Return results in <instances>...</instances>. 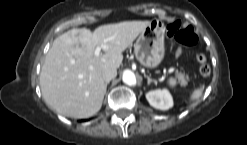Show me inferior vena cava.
Instances as JSON below:
<instances>
[{"instance_id": "602c4592", "label": "inferior vena cava", "mask_w": 247, "mask_h": 145, "mask_svg": "<svg viewBox=\"0 0 247 145\" xmlns=\"http://www.w3.org/2000/svg\"><path fill=\"white\" fill-rule=\"evenodd\" d=\"M117 75V70L113 67H106L102 71V77L105 82H109Z\"/></svg>"}]
</instances>
